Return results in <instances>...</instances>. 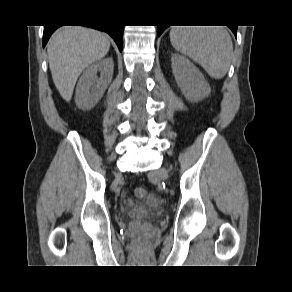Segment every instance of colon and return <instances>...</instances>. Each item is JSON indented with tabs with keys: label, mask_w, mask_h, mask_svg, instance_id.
I'll return each instance as SVG.
<instances>
[{
	"label": "colon",
	"mask_w": 292,
	"mask_h": 292,
	"mask_svg": "<svg viewBox=\"0 0 292 292\" xmlns=\"http://www.w3.org/2000/svg\"><path fill=\"white\" fill-rule=\"evenodd\" d=\"M147 189L144 187H137L134 190V194L137 198H144L147 196Z\"/></svg>",
	"instance_id": "1"
}]
</instances>
